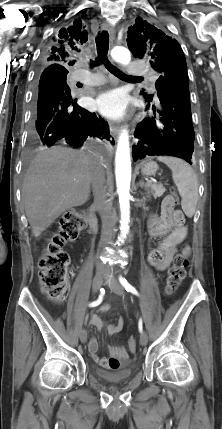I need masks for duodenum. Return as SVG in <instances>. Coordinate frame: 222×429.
I'll return each instance as SVG.
<instances>
[{
	"mask_svg": "<svg viewBox=\"0 0 222 429\" xmlns=\"http://www.w3.org/2000/svg\"><path fill=\"white\" fill-rule=\"evenodd\" d=\"M86 220L89 229L92 233H95L98 229V220L93 210L89 209L86 214Z\"/></svg>",
	"mask_w": 222,
	"mask_h": 429,
	"instance_id": "obj_1",
	"label": "duodenum"
}]
</instances>
